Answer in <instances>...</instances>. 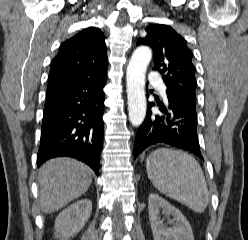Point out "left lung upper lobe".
I'll use <instances>...</instances> for the list:
<instances>
[{
	"label": "left lung upper lobe",
	"mask_w": 248,
	"mask_h": 240,
	"mask_svg": "<svg viewBox=\"0 0 248 240\" xmlns=\"http://www.w3.org/2000/svg\"><path fill=\"white\" fill-rule=\"evenodd\" d=\"M147 35L137 45H148L153 50L154 70L163 74L168 98L181 104L196 106L195 67L186 40L168 25L146 27Z\"/></svg>",
	"instance_id": "left-lung-upper-lobe-1"
}]
</instances>
